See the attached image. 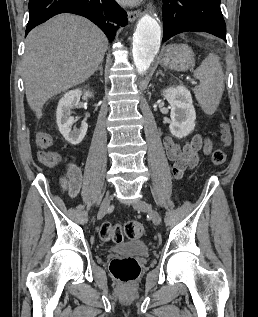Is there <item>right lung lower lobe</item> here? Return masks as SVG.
<instances>
[{"mask_svg":"<svg viewBox=\"0 0 258 317\" xmlns=\"http://www.w3.org/2000/svg\"><path fill=\"white\" fill-rule=\"evenodd\" d=\"M29 22L25 36L37 25L60 13L84 16L114 39L118 25L127 24L126 12L114 0H29Z\"/></svg>","mask_w":258,"mask_h":317,"instance_id":"obj_1","label":"right lung lower lobe"}]
</instances>
